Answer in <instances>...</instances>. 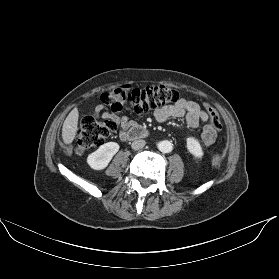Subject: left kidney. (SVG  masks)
Wrapping results in <instances>:
<instances>
[{
    "instance_id": "left-kidney-1",
    "label": "left kidney",
    "mask_w": 279,
    "mask_h": 279,
    "mask_svg": "<svg viewBox=\"0 0 279 279\" xmlns=\"http://www.w3.org/2000/svg\"><path fill=\"white\" fill-rule=\"evenodd\" d=\"M186 147L188 151L195 157V158H202L204 155L203 148L198 139L194 137L186 138Z\"/></svg>"
}]
</instances>
